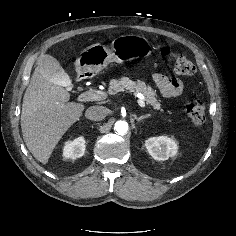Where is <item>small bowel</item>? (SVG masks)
<instances>
[{
    "instance_id": "1",
    "label": "small bowel",
    "mask_w": 236,
    "mask_h": 236,
    "mask_svg": "<svg viewBox=\"0 0 236 236\" xmlns=\"http://www.w3.org/2000/svg\"><path fill=\"white\" fill-rule=\"evenodd\" d=\"M153 81L165 98H175L182 93L183 84L178 79L170 78L161 73H156L153 75Z\"/></svg>"
}]
</instances>
